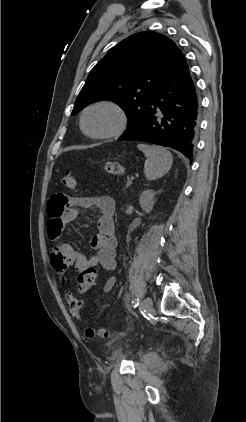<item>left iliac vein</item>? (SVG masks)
Here are the masks:
<instances>
[{"label": "left iliac vein", "instance_id": "1", "mask_svg": "<svg viewBox=\"0 0 246 422\" xmlns=\"http://www.w3.org/2000/svg\"><path fill=\"white\" fill-rule=\"evenodd\" d=\"M152 299L150 297H145L142 301V308L149 312L152 309Z\"/></svg>", "mask_w": 246, "mask_h": 422}]
</instances>
